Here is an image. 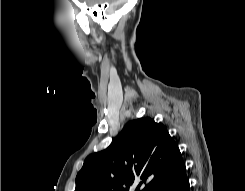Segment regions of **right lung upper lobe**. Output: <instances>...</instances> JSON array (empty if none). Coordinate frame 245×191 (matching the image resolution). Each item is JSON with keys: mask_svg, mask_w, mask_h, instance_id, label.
<instances>
[{"mask_svg": "<svg viewBox=\"0 0 245 191\" xmlns=\"http://www.w3.org/2000/svg\"><path fill=\"white\" fill-rule=\"evenodd\" d=\"M175 141L160 123L139 118L125 125L108 148L89 155L75 191H153L184 167Z\"/></svg>", "mask_w": 245, "mask_h": 191, "instance_id": "right-lung-upper-lobe-1", "label": "right lung upper lobe"}]
</instances>
